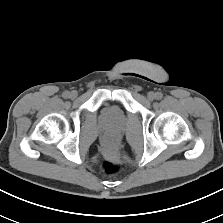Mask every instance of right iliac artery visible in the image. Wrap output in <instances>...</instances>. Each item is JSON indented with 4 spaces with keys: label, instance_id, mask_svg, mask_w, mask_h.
<instances>
[{
    "label": "right iliac artery",
    "instance_id": "obj_1",
    "mask_svg": "<svg viewBox=\"0 0 223 223\" xmlns=\"http://www.w3.org/2000/svg\"><path fill=\"white\" fill-rule=\"evenodd\" d=\"M70 96V93L68 92V91H65L64 93H63V97L64 98H68Z\"/></svg>",
    "mask_w": 223,
    "mask_h": 223
}]
</instances>
